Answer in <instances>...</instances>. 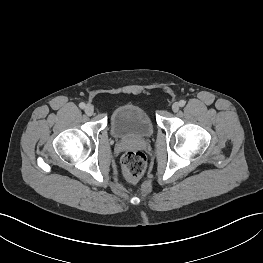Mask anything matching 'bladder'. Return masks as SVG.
Listing matches in <instances>:
<instances>
[{
	"instance_id": "obj_1",
	"label": "bladder",
	"mask_w": 263,
	"mask_h": 263,
	"mask_svg": "<svg viewBox=\"0 0 263 263\" xmlns=\"http://www.w3.org/2000/svg\"><path fill=\"white\" fill-rule=\"evenodd\" d=\"M110 129L114 136L128 140H146L154 133L151 118L136 104L118 107L112 114Z\"/></svg>"
}]
</instances>
